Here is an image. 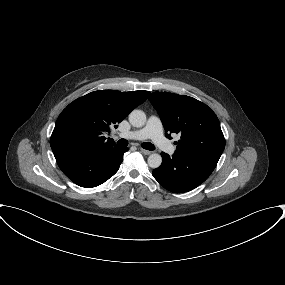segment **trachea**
Segmentation results:
<instances>
[{"instance_id": "1", "label": "trachea", "mask_w": 285, "mask_h": 285, "mask_svg": "<svg viewBox=\"0 0 285 285\" xmlns=\"http://www.w3.org/2000/svg\"><path fill=\"white\" fill-rule=\"evenodd\" d=\"M117 144L120 145V146H127L128 145V141L125 140V139H120V140H118ZM142 147L144 149H146V150H155V146L152 143H150V142L142 143Z\"/></svg>"}]
</instances>
